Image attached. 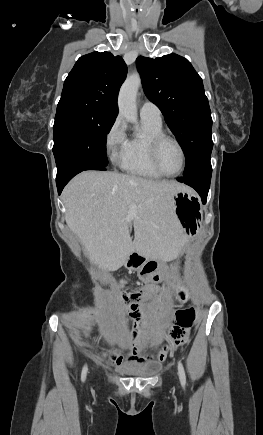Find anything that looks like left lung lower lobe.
Here are the masks:
<instances>
[{
	"instance_id": "1",
	"label": "left lung lower lobe",
	"mask_w": 263,
	"mask_h": 435,
	"mask_svg": "<svg viewBox=\"0 0 263 435\" xmlns=\"http://www.w3.org/2000/svg\"><path fill=\"white\" fill-rule=\"evenodd\" d=\"M212 167L210 161L205 162L183 177L177 178L179 182H183L194 188L201 196L203 203L206 202L210 181H211Z\"/></svg>"
}]
</instances>
